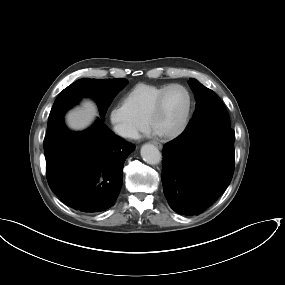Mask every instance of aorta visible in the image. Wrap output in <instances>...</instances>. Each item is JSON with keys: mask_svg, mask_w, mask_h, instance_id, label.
Here are the masks:
<instances>
[{"mask_svg": "<svg viewBox=\"0 0 285 285\" xmlns=\"http://www.w3.org/2000/svg\"><path fill=\"white\" fill-rule=\"evenodd\" d=\"M141 157L142 159L150 165L159 164L161 161V153L156 146L153 144H144L141 147Z\"/></svg>", "mask_w": 285, "mask_h": 285, "instance_id": "1", "label": "aorta"}]
</instances>
